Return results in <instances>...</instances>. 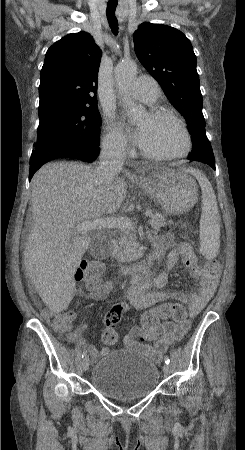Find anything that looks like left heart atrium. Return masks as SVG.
<instances>
[{
  "mask_svg": "<svg viewBox=\"0 0 245 450\" xmlns=\"http://www.w3.org/2000/svg\"><path fill=\"white\" fill-rule=\"evenodd\" d=\"M136 140L138 141L139 144L142 143V131H141V130H139V131L136 133Z\"/></svg>",
  "mask_w": 245,
  "mask_h": 450,
  "instance_id": "39dd6f15",
  "label": "left heart atrium"
}]
</instances>
